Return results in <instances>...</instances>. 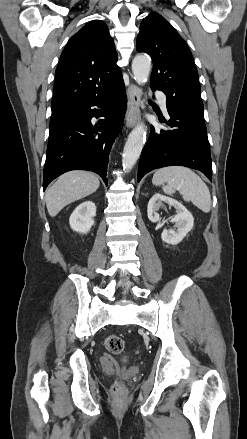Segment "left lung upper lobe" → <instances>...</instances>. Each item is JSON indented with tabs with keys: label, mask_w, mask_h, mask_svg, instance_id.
<instances>
[{
	"label": "left lung upper lobe",
	"mask_w": 247,
	"mask_h": 439,
	"mask_svg": "<svg viewBox=\"0 0 247 439\" xmlns=\"http://www.w3.org/2000/svg\"><path fill=\"white\" fill-rule=\"evenodd\" d=\"M136 47L151 56L150 85L165 93L168 107L204 116L192 53L170 23L158 13H150L141 22Z\"/></svg>",
	"instance_id": "left-lung-upper-lobe-1"
}]
</instances>
